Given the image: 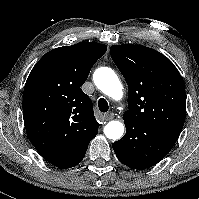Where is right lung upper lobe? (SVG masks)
<instances>
[{
  "label": "right lung upper lobe",
  "instance_id": "1",
  "mask_svg": "<svg viewBox=\"0 0 199 199\" xmlns=\"http://www.w3.org/2000/svg\"><path fill=\"white\" fill-rule=\"evenodd\" d=\"M107 46L79 42L47 52L34 66L23 93L27 135L39 154L61 169L75 166L97 135L99 123L80 88Z\"/></svg>",
  "mask_w": 199,
  "mask_h": 199
}]
</instances>
